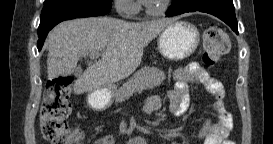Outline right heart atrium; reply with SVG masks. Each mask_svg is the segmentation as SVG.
<instances>
[{
	"label": "right heart atrium",
	"instance_id": "d8ad5b80",
	"mask_svg": "<svg viewBox=\"0 0 273 144\" xmlns=\"http://www.w3.org/2000/svg\"><path fill=\"white\" fill-rule=\"evenodd\" d=\"M115 8L124 15H132L138 11V6L133 0H114Z\"/></svg>",
	"mask_w": 273,
	"mask_h": 144
}]
</instances>
